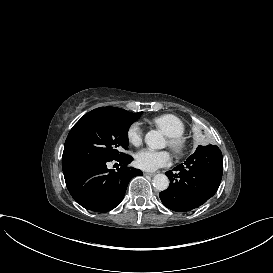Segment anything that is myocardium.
I'll use <instances>...</instances> for the list:
<instances>
[{
	"label": "myocardium",
	"mask_w": 273,
	"mask_h": 273,
	"mask_svg": "<svg viewBox=\"0 0 273 273\" xmlns=\"http://www.w3.org/2000/svg\"><path fill=\"white\" fill-rule=\"evenodd\" d=\"M169 145L177 153H182L186 146V141L182 136L178 137H169Z\"/></svg>",
	"instance_id": "f54148a6"
}]
</instances>
